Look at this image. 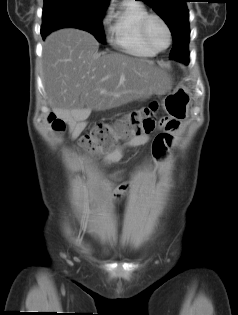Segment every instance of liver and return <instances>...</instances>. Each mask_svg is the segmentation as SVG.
Returning a JSON list of instances; mask_svg holds the SVG:
<instances>
[{
  "label": "liver",
  "mask_w": 238,
  "mask_h": 315,
  "mask_svg": "<svg viewBox=\"0 0 238 315\" xmlns=\"http://www.w3.org/2000/svg\"><path fill=\"white\" fill-rule=\"evenodd\" d=\"M98 48L91 34L78 29H61L46 38L43 83L48 104L58 117L84 120L92 110L119 107L169 84L152 62L100 53Z\"/></svg>",
  "instance_id": "liver-1"
}]
</instances>
